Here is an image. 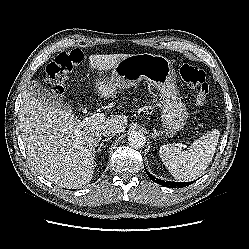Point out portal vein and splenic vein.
<instances>
[{"label":"portal vein and splenic vein","instance_id":"portal-vein-and-splenic-vein-1","mask_svg":"<svg viewBox=\"0 0 249 249\" xmlns=\"http://www.w3.org/2000/svg\"><path fill=\"white\" fill-rule=\"evenodd\" d=\"M104 119H105V117L102 113H95V114L83 119L81 121V123H82V125L98 124L99 122L103 121Z\"/></svg>","mask_w":249,"mask_h":249}]
</instances>
